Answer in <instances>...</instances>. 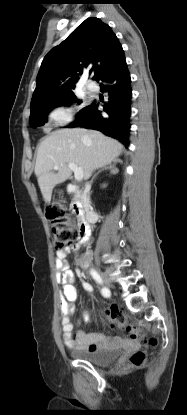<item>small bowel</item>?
Here are the masks:
<instances>
[{
	"mask_svg": "<svg viewBox=\"0 0 187 415\" xmlns=\"http://www.w3.org/2000/svg\"><path fill=\"white\" fill-rule=\"evenodd\" d=\"M78 248L79 246L77 245L66 250L57 251L55 259L56 267L58 269L57 281L63 286V297L60 303L63 339L65 345L69 348L96 351L110 346L113 342L100 333H85L82 330L74 332V326L71 322V316L75 311L74 303L77 299V290L74 286L75 274L69 267L67 255L69 252L75 251ZM76 274L79 277L84 276V272L80 268L76 269ZM83 288L89 295H92L93 288L90 283L83 282ZM82 320L87 322L89 320V315L84 313Z\"/></svg>",
	"mask_w": 187,
	"mask_h": 415,
	"instance_id": "1",
	"label": "small bowel"
}]
</instances>
